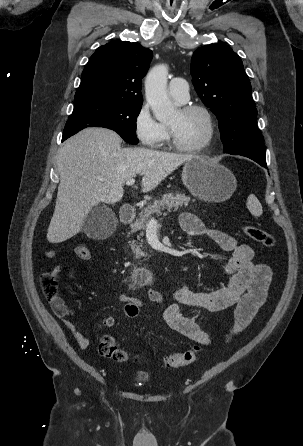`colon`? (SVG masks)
Here are the masks:
<instances>
[{
	"instance_id": "5ec220e1",
	"label": "colon",
	"mask_w": 303,
	"mask_h": 446,
	"mask_svg": "<svg viewBox=\"0 0 303 446\" xmlns=\"http://www.w3.org/2000/svg\"><path fill=\"white\" fill-rule=\"evenodd\" d=\"M243 232L252 241L266 247H272L275 244V239L273 236L259 227L245 225L243 227ZM74 252L76 256L82 260H89L91 258L89 248L84 245L76 246ZM41 284L42 289L49 301L52 303H57L61 300L59 296V283L57 276L50 271L44 272L41 277ZM98 351L101 356L113 361L123 362L127 359V353L118 346L115 338L111 335H104L101 338L98 345ZM200 352L201 346L196 344L184 352L166 355L163 358V364L169 368L190 365L197 360Z\"/></svg>"
}]
</instances>
